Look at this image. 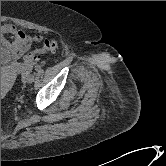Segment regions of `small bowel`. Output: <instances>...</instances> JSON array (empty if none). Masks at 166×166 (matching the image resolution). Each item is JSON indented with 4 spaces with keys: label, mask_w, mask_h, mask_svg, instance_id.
Returning <instances> with one entry per match:
<instances>
[{
    "label": "small bowel",
    "mask_w": 166,
    "mask_h": 166,
    "mask_svg": "<svg viewBox=\"0 0 166 166\" xmlns=\"http://www.w3.org/2000/svg\"><path fill=\"white\" fill-rule=\"evenodd\" d=\"M41 40V35L29 36L14 25L1 26V42L11 51L14 59L22 57L33 43H38ZM15 68H17L16 65Z\"/></svg>",
    "instance_id": "1"
}]
</instances>
